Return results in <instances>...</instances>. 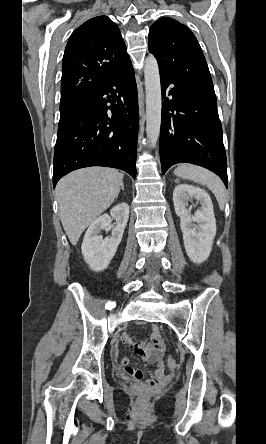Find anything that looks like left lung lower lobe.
<instances>
[{"label": "left lung lower lobe", "mask_w": 266, "mask_h": 444, "mask_svg": "<svg viewBox=\"0 0 266 444\" xmlns=\"http://www.w3.org/2000/svg\"><path fill=\"white\" fill-rule=\"evenodd\" d=\"M160 80L162 173L173 164L192 163L213 171L228 187L226 153L213 83L180 80L162 70Z\"/></svg>", "instance_id": "0a47b994"}]
</instances>
